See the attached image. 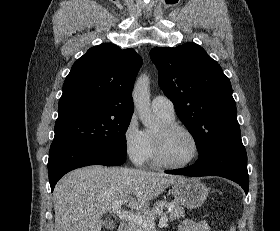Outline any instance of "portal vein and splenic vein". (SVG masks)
<instances>
[{
  "instance_id": "obj_1",
  "label": "portal vein and splenic vein",
  "mask_w": 280,
  "mask_h": 231,
  "mask_svg": "<svg viewBox=\"0 0 280 231\" xmlns=\"http://www.w3.org/2000/svg\"><path fill=\"white\" fill-rule=\"evenodd\" d=\"M113 213H116L118 215L119 219H125V221H131V223H140L144 229H154L156 223L154 219H149V217H145V215H137V213H132V211H124V209H117V207H113L112 209ZM168 217L167 215H163L161 219H159V227L161 225H168L167 223Z\"/></svg>"
}]
</instances>
